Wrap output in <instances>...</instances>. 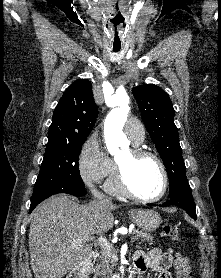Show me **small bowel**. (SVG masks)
Here are the masks:
<instances>
[{"label": "small bowel", "mask_w": 221, "mask_h": 278, "mask_svg": "<svg viewBox=\"0 0 221 278\" xmlns=\"http://www.w3.org/2000/svg\"><path fill=\"white\" fill-rule=\"evenodd\" d=\"M134 267L138 272L147 269L154 271L158 278H171L169 270L172 265L176 266L178 259L172 252H163L154 248L148 253L138 252L134 255Z\"/></svg>", "instance_id": "c3829d8e"}]
</instances>
